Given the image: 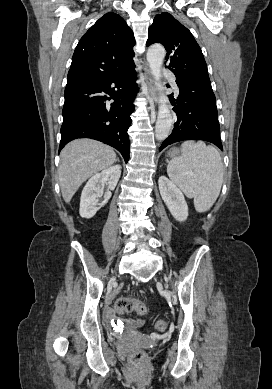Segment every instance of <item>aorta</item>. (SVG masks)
I'll list each match as a JSON object with an SVG mask.
<instances>
[{
	"instance_id": "obj_1",
	"label": "aorta",
	"mask_w": 272,
	"mask_h": 389,
	"mask_svg": "<svg viewBox=\"0 0 272 389\" xmlns=\"http://www.w3.org/2000/svg\"><path fill=\"white\" fill-rule=\"evenodd\" d=\"M165 48L161 44H154L147 51V61L154 78L155 85L159 91L163 90L161 67L165 58ZM159 111L155 125V137L162 141L166 139L173 126V118L168 105V98L161 93L159 97Z\"/></svg>"
}]
</instances>
